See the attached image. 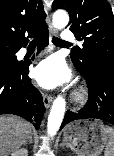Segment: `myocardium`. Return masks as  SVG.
<instances>
[{"label":"myocardium","instance_id":"f54148a6","mask_svg":"<svg viewBox=\"0 0 114 156\" xmlns=\"http://www.w3.org/2000/svg\"><path fill=\"white\" fill-rule=\"evenodd\" d=\"M86 99V93L84 90L80 89L74 94V101L76 103H82Z\"/></svg>","mask_w":114,"mask_h":156}]
</instances>
